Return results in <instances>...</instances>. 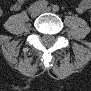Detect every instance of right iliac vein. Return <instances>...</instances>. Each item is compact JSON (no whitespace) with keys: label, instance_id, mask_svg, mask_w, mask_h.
I'll list each match as a JSON object with an SVG mask.
<instances>
[{"label":"right iliac vein","instance_id":"1","mask_svg":"<svg viewBox=\"0 0 91 91\" xmlns=\"http://www.w3.org/2000/svg\"><path fill=\"white\" fill-rule=\"evenodd\" d=\"M40 14V10L39 9H35L33 11L30 12V15L32 18L37 17Z\"/></svg>","mask_w":91,"mask_h":91}]
</instances>
